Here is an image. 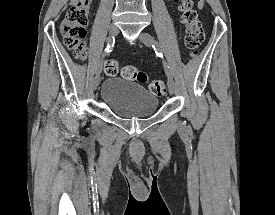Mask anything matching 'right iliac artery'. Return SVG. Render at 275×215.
I'll use <instances>...</instances> for the list:
<instances>
[{
	"label": "right iliac artery",
	"instance_id": "obj_1",
	"mask_svg": "<svg viewBox=\"0 0 275 215\" xmlns=\"http://www.w3.org/2000/svg\"><path fill=\"white\" fill-rule=\"evenodd\" d=\"M114 42H115L114 37H110V38L108 39V44H107V47H106L104 53L102 54V58H103L106 54H108L109 52L112 51V47H113V45H114ZM101 70H102V61H99V62L97 63V65H96L95 71H96V72H97V71H100V72H101Z\"/></svg>",
	"mask_w": 275,
	"mask_h": 215
}]
</instances>
